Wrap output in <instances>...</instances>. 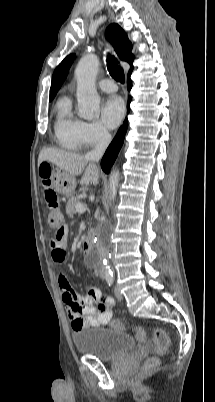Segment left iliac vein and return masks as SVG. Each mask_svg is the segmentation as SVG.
Segmentation results:
<instances>
[{
	"mask_svg": "<svg viewBox=\"0 0 215 402\" xmlns=\"http://www.w3.org/2000/svg\"><path fill=\"white\" fill-rule=\"evenodd\" d=\"M114 293H115V296H116V298H117L118 300H122L123 296H122V294L120 293V290H119V288H118L117 286H116L115 289H114Z\"/></svg>",
	"mask_w": 215,
	"mask_h": 402,
	"instance_id": "left-iliac-vein-1",
	"label": "left iliac vein"
}]
</instances>
